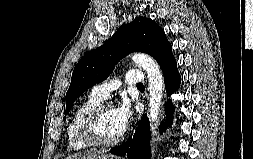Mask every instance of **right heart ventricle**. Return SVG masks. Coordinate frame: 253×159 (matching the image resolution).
<instances>
[{
	"label": "right heart ventricle",
	"instance_id": "1",
	"mask_svg": "<svg viewBox=\"0 0 253 159\" xmlns=\"http://www.w3.org/2000/svg\"><path fill=\"white\" fill-rule=\"evenodd\" d=\"M103 99L91 93L85 100H83L72 113L67 129V144L72 151H82L89 146L81 138V127L87 114Z\"/></svg>",
	"mask_w": 253,
	"mask_h": 159
}]
</instances>
